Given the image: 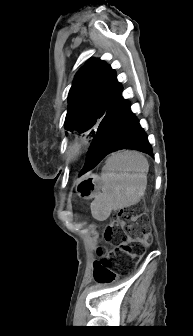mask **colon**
<instances>
[{
    "instance_id": "1",
    "label": "colon",
    "mask_w": 193,
    "mask_h": 336,
    "mask_svg": "<svg viewBox=\"0 0 193 336\" xmlns=\"http://www.w3.org/2000/svg\"><path fill=\"white\" fill-rule=\"evenodd\" d=\"M106 243L114 245L112 250L98 249L99 260L95 265V277L100 282H110L115 273L112 269L115 257L137 258L151 243L150 229L146 220L135 210H120L104 228Z\"/></svg>"
}]
</instances>
